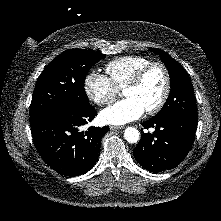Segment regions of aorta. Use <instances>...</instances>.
<instances>
[{
    "label": "aorta",
    "mask_w": 221,
    "mask_h": 221,
    "mask_svg": "<svg viewBox=\"0 0 221 221\" xmlns=\"http://www.w3.org/2000/svg\"><path fill=\"white\" fill-rule=\"evenodd\" d=\"M124 138L129 143H136L140 139V133L134 127H127L124 131Z\"/></svg>",
    "instance_id": "762f6f07"
}]
</instances>
